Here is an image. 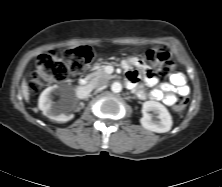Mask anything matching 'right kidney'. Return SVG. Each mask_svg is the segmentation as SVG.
I'll list each match as a JSON object with an SVG mask.
<instances>
[{
  "label": "right kidney",
  "mask_w": 222,
  "mask_h": 187,
  "mask_svg": "<svg viewBox=\"0 0 222 187\" xmlns=\"http://www.w3.org/2000/svg\"><path fill=\"white\" fill-rule=\"evenodd\" d=\"M58 86L54 85L45 89L39 97V109L45 116L54 121L66 122L73 118V114L66 115L63 110L65 103L60 100L57 104L52 101L53 95L57 92Z\"/></svg>",
  "instance_id": "obj_1"
}]
</instances>
